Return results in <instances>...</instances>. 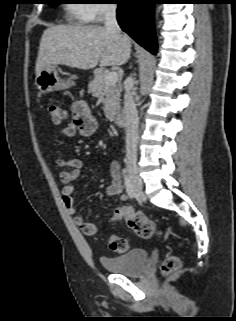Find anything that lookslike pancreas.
<instances>
[{
  "instance_id": "pancreas-1",
  "label": "pancreas",
  "mask_w": 236,
  "mask_h": 321,
  "mask_svg": "<svg viewBox=\"0 0 236 321\" xmlns=\"http://www.w3.org/2000/svg\"><path fill=\"white\" fill-rule=\"evenodd\" d=\"M104 70L99 71L89 83V90L94 97H97L104 104V113L108 119H113L120 110L119 84H107Z\"/></svg>"
}]
</instances>
